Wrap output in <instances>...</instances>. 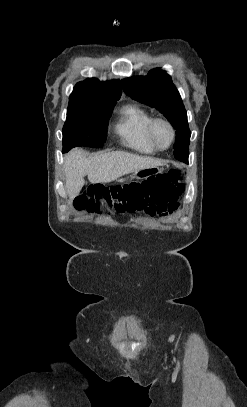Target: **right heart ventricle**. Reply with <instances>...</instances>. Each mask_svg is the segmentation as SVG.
I'll return each instance as SVG.
<instances>
[{
	"instance_id": "obj_1",
	"label": "right heart ventricle",
	"mask_w": 247,
	"mask_h": 407,
	"mask_svg": "<svg viewBox=\"0 0 247 407\" xmlns=\"http://www.w3.org/2000/svg\"><path fill=\"white\" fill-rule=\"evenodd\" d=\"M152 114L137 105H128L121 109L116 132L129 148L143 153L154 154L157 149L149 138V125Z\"/></svg>"
}]
</instances>
